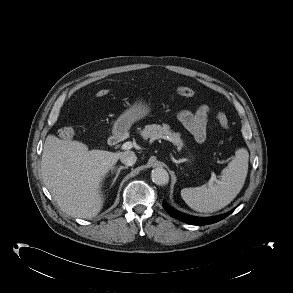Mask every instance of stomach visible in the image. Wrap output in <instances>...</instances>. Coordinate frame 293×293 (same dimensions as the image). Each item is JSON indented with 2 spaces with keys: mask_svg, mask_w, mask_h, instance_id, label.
<instances>
[{
  "mask_svg": "<svg viewBox=\"0 0 293 293\" xmlns=\"http://www.w3.org/2000/svg\"><path fill=\"white\" fill-rule=\"evenodd\" d=\"M150 112L148 104L143 98H138L134 103L126 109L115 121L113 133L122 135L127 132L130 127L137 121L143 119Z\"/></svg>",
  "mask_w": 293,
  "mask_h": 293,
  "instance_id": "stomach-1",
  "label": "stomach"
}]
</instances>
